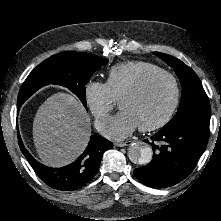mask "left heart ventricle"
Segmentation results:
<instances>
[{
  "label": "left heart ventricle",
  "mask_w": 221,
  "mask_h": 221,
  "mask_svg": "<svg viewBox=\"0 0 221 221\" xmlns=\"http://www.w3.org/2000/svg\"><path fill=\"white\" fill-rule=\"evenodd\" d=\"M173 97V87L167 78H157L143 92L122 97L120 109L129 111L138 125H148L162 118L169 109Z\"/></svg>",
  "instance_id": "obj_1"
}]
</instances>
